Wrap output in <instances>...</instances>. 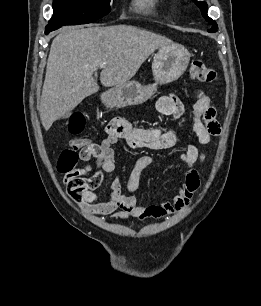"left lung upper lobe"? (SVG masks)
I'll list each match as a JSON object with an SVG mask.
<instances>
[{
    "label": "left lung upper lobe",
    "instance_id": "left-lung-upper-lobe-1",
    "mask_svg": "<svg viewBox=\"0 0 261 306\" xmlns=\"http://www.w3.org/2000/svg\"><path fill=\"white\" fill-rule=\"evenodd\" d=\"M194 2H195L196 5H198V7L201 9L202 15H203V17L206 19V21H207L209 24L212 25V28H210V29L208 30V32H210V33L216 32L217 29H218V26H217V23H216L214 20H212V19L208 16V14H207V11H208L207 4H206L205 2L197 1V0H195Z\"/></svg>",
    "mask_w": 261,
    "mask_h": 306
}]
</instances>
